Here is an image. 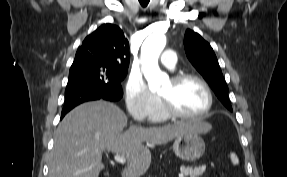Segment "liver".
<instances>
[{
	"label": "liver",
	"mask_w": 287,
	"mask_h": 177,
	"mask_svg": "<svg viewBox=\"0 0 287 177\" xmlns=\"http://www.w3.org/2000/svg\"><path fill=\"white\" fill-rule=\"evenodd\" d=\"M126 125V115L112 103L94 101L77 106L55 132L48 177H98L105 150L126 158L124 177H139L151 164V152L144 143L166 144L185 133H206L212 128L198 119L162 127L130 126L122 132Z\"/></svg>",
	"instance_id": "obj_1"
}]
</instances>
